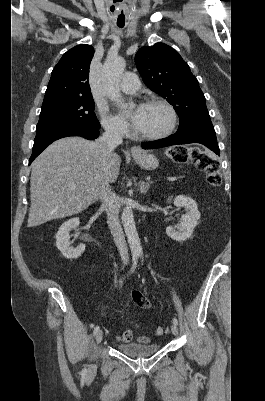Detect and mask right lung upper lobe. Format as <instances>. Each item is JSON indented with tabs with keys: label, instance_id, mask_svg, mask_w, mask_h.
<instances>
[{
	"label": "right lung upper lobe",
	"instance_id": "right-lung-upper-lobe-1",
	"mask_svg": "<svg viewBox=\"0 0 265 401\" xmlns=\"http://www.w3.org/2000/svg\"><path fill=\"white\" fill-rule=\"evenodd\" d=\"M94 49L81 44L68 50L54 67L42 105L58 100L92 97L88 77Z\"/></svg>",
	"mask_w": 265,
	"mask_h": 401
}]
</instances>
